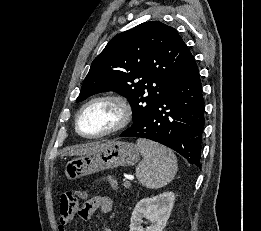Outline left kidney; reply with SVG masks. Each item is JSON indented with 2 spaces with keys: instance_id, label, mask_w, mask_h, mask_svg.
<instances>
[{
  "instance_id": "5707ae66",
  "label": "left kidney",
  "mask_w": 261,
  "mask_h": 231,
  "mask_svg": "<svg viewBox=\"0 0 261 231\" xmlns=\"http://www.w3.org/2000/svg\"><path fill=\"white\" fill-rule=\"evenodd\" d=\"M174 200L173 192H164L158 196L140 200L132 212L130 231H163L171 214ZM143 218L150 222L146 228L142 226Z\"/></svg>"
}]
</instances>
